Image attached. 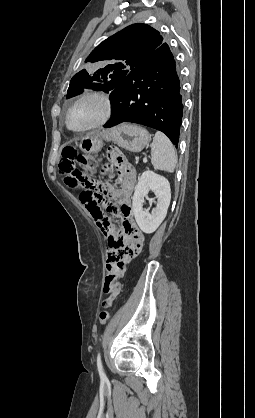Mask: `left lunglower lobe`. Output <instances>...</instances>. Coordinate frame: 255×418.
<instances>
[{
	"label": "left lung lower lobe",
	"instance_id": "left-lung-lower-lobe-1",
	"mask_svg": "<svg viewBox=\"0 0 255 418\" xmlns=\"http://www.w3.org/2000/svg\"><path fill=\"white\" fill-rule=\"evenodd\" d=\"M111 118L104 127L122 122L142 124L165 133L178 145L183 115L181 82L167 44L131 70L110 94Z\"/></svg>",
	"mask_w": 255,
	"mask_h": 418
}]
</instances>
